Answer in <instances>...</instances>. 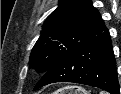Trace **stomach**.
<instances>
[{
    "label": "stomach",
    "instance_id": "stomach-1",
    "mask_svg": "<svg viewBox=\"0 0 121 94\" xmlns=\"http://www.w3.org/2000/svg\"><path fill=\"white\" fill-rule=\"evenodd\" d=\"M53 94H89V92L79 86H66L55 91Z\"/></svg>",
    "mask_w": 121,
    "mask_h": 94
}]
</instances>
